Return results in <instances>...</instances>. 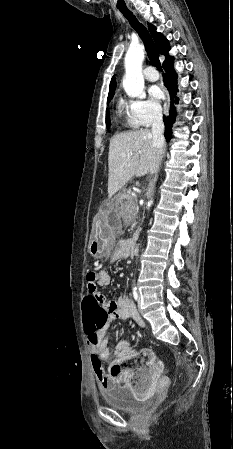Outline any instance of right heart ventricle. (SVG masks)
<instances>
[{"label":"right heart ventricle","instance_id":"obj_1","mask_svg":"<svg viewBox=\"0 0 233 449\" xmlns=\"http://www.w3.org/2000/svg\"><path fill=\"white\" fill-rule=\"evenodd\" d=\"M116 112L122 118L126 127L135 129L140 125L133 114L132 104L124 99H118L116 104Z\"/></svg>","mask_w":233,"mask_h":449}]
</instances>
